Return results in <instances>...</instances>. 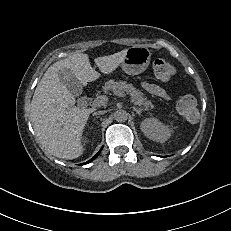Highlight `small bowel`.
Wrapping results in <instances>:
<instances>
[{"label":"small bowel","instance_id":"c3829d8e","mask_svg":"<svg viewBox=\"0 0 231 231\" xmlns=\"http://www.w3.org/2000/svg\"><path fill=\"white\" fill-rule=\"evenodd\" d=\"M142 87L150 94L163 98V99H169L170 96L169 94L166 92L165 89H163L161 86L154 84V83H150V82H143L142 83Z\"/></svg>","mask_w":231,"mask_h":231}]
</instances>
